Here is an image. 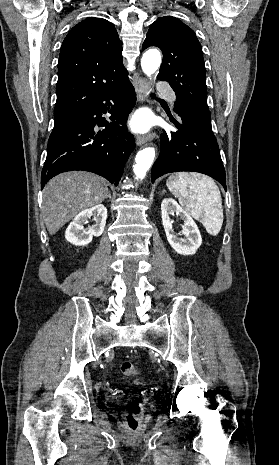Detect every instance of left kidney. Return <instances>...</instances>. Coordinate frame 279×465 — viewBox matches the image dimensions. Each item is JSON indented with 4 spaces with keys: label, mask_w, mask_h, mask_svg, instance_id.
Masks as SVG:
<instances>
[{
    "label": "left kidney",
    "mask_w": 279,
    "mask_h": 465,
    "mask_svg": "<svg viewBox=\"0 0 279 465\" xmlns=\"http://www.w3.org/2000/svg\"><path fill=\"white\" fill-rule=\"evenodd\" d=\"M176 213L183 221L181 235L177 237L173 228L170 215ZM162 223L170 246L181 255H193L202 243L200 231L190 216L173 198H165L161 203Z\"/></svg>",
    "instance_id": "obj_1"
}]
</instances>
